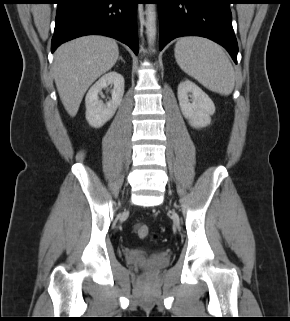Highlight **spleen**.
Wrapping results in <instances>:
<instances>
[{
  "label": "spleen",
  "instance_id": "3e777b00",
  "mask_svg": "<svg viewBox=\"0 0 290 321\" xmlns=\"http://www.w3.org/2000/svg\"><path fill=\"white\" fill-rule=\"evenodd\" d=\"M174 51L181 69L203 86L222 95L233 91L234 69L219 45L200 37H185L177 41Z\"/></svg>",
  "mask_w": 290,
  "mask_h": 321
}]
</instances>
